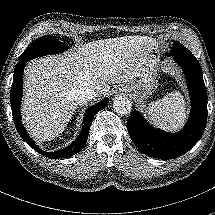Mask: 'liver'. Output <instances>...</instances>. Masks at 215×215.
Segmentation results:
<instances>
[{"instance_id": "6515ba94", "label": "liver", "mask_w": 215, "mask_h": 215, "mask_svg": "<svg viewBox=\"0 0 215 215\" xmlns=\"http://www.w3.org/2000/svg\"><path fill=\"white\" fill-rule=\"evenodd\" d=\"M156 45L148 36L100 39L80 45L63 55L34 59L24 70L22 122L37 142L51 141L62 133L77 103L75 91L93 88L99 96L140 76L142 61Z\"/></svg>"}]
</instances>
